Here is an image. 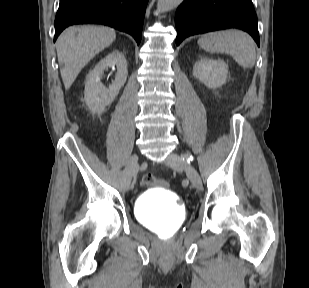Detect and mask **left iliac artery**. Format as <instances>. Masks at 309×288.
I'll return each mask as SVG.
<instances>
[{"label": "left iliac artery", "instance_id": "obj_1", "mask_svg": "<svg viewBox=\"0 0 309 288\" xmlns=\"http://www.w3.org/2000/svg\"><path fill=\"white\" fill-rule=\"evenodd\" d=\"M183 160L187 163H190V161H193V156L192 155H189V154H184L182 156Z\"/></svg>", "mask_w": 309, "mask_h": 288}]
</instances>
